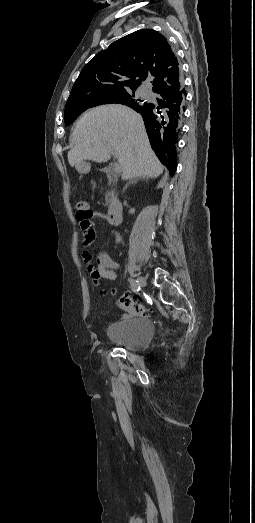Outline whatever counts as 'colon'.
<instances>
[{"label": "colon", "instance_id": "1", "mask_svg": "<svg viewBox=\"0 0 255 523\" xmlns=\"http://www.w3.org/2000/svg\"><path fill=\"white\" fill-rule=\"evenodd\" d=\"M76 218L79 223L88 222L91 218L89 205L85 201H80L76 205ZM93 278L97 280V277ZM117 305L127 312L145 316L148 311L137 299H133L127 295L120 296L116 299Z\"/></svg>", "mask_w": 255, "mask_h": 523}]
</instances>
